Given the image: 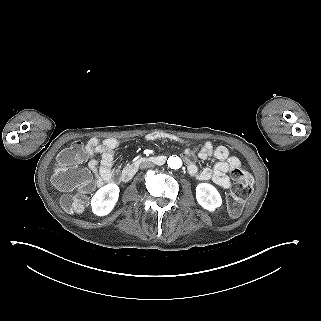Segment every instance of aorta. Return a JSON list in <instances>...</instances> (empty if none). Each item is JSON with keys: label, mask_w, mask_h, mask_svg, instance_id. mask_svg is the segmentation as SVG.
<instances>
[{"label": "aorta", "mask_w": 321, "mask_h": 321, "mask_svg": "<svg viewBox=\"0 0 321 321\" xmlns=\"http://www.w3.org/2000/svg\"><path fill=\"white\" fill-rule=\"evenodd\" d=\"M167 164L171 169H179L182 165V161L178 156H171L169 157Z\"/></svg>", "instance_id": "obj_1"}]
</instances>
